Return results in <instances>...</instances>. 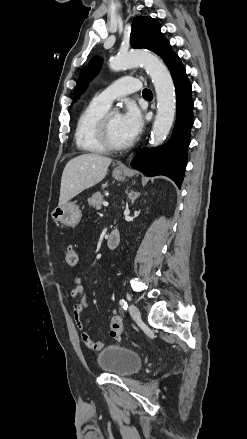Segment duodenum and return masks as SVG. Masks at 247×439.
Returning a JSON list of instances; mask_svg holds the SVG:
<instances>
[{
    "label": "duodenum",
    "instance_id": "duodenum-1",
    "mask_svg": "<svg viewBox=\"0 0 247 439\" xmlns=\"http://www.w3.org/2000/svg\"><path fill=\"white\" fill-rule=\"evenodd\" d=\"M121 241L120 231L118 229H112L107 237V247L109 249H116Z\"/></svg>",
    "mask_w": 247,
    "mask_h": 439
}]
</instances>
